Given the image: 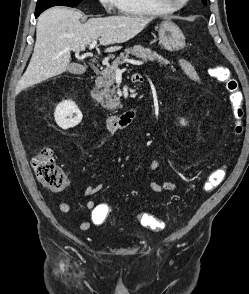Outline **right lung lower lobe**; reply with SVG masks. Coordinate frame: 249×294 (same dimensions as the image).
<instances>
[{
    "label": "right lung lower lobe",
    "instance_id": "obj_1",
    "mask_svg": "<svg viewBox=\"0 0 249 294\" xmlns=\"http://www.w3.org/2000/svg\"><path fill=\"white\" fill-rule=\"evenodd\" d=\"M41 12H43V11H35V17L37 18Z\"/></svg>",
    "mask_w": 249,
    "mask_h": 294
}]
</instances>
